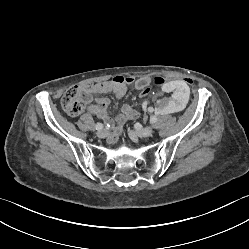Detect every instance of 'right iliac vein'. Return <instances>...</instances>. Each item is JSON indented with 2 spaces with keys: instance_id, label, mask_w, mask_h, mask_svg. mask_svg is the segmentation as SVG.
<instances>
[{
  "instance_id": "obj_1",
  "label": "right iliac vein",
  "mask_w": 249,
  "mask_h": 249,
  "mask_svg": "<svg viewBox=\"0 0 249 249\" xmlns=\"http://www.w3.org/2000/svg\"><path fill=\"white\" fill-rule=\"evenodd\" d=\"M96 134L99 138H105L107 136V131L105 129H101Z\"/></svg>"
}]
</instances>
